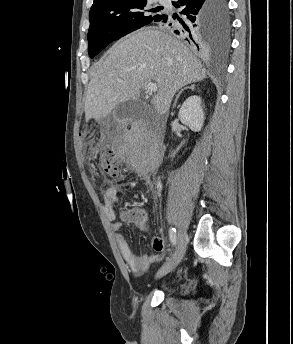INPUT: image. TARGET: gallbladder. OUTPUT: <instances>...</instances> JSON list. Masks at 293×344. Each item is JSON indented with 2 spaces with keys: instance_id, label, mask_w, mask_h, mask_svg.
Here are the masks:
<instances>
[{
  "instance_id": "obj_1",
  "label": "gallbladder",
  "mask_w": 293,
  "mask_h": 344,
  "mask_svg": "<svg viewBox=\"0 0 293 344\" xmlns=\"http://www.w3.org/2000/svg\"><path fill=\"white\" fill-rule=\"evenodd\" d=\"M142 107L143 103L139 100H129L127 102L120 103L113 111L114 119L119 120L127 117L139 118Z\"/></svg>"
}]
</instances>
